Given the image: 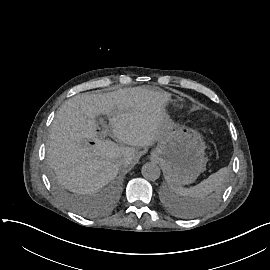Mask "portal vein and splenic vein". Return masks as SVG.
I'll use <instances>...</instances> for the list:
<instances>
[{"mask_svg":"<svg viewBox=\"0 0 270 270\" xmlns=\"http://www.w3.org/2000/svg\"><path fill=\"white\" fill-rule=\"evenodd\" d=\"M98 122H99L101 128L103 129L100 133V136L98 137V140L100 141V143H103L106 140L107 134L113 133V129H111V126H110V128H108V131L104 129L107 125L106 124L107 121L105 119H100Z\"/></svg>","mask_w":270,"mask_h":270,"instance_id":"1","label":"portal vein and splenic vein"}]
</instances>
